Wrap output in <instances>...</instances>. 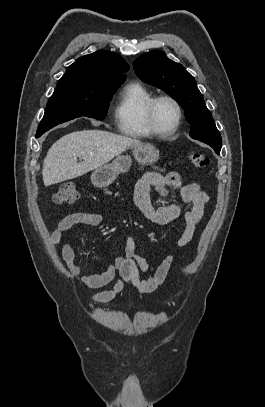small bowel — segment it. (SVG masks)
I'll return each instance as SVG.
<instances>
[{
  "instance_id": "1",
  "label": "small bowel",
  "mask_w": 265,
  "mask_h": 407,
  "mask_svg": "<svg viewBox=\"0 0 265 407\" xmlns=\"http://www.w3.org/2000/svg\"><path fill=\"white\" fill-rule=\"evenodd\" d=\"M163 196H167L169 189H178L181 202L155 207L151 201V189ZM209 201L208 195L200 189L197 183L184 184L182 177L177 172L162 175L157 172H148L137 182L134 192V202L143 216L156 224H167L178 218L184 212L185 228L178 238V247L189 244L201 221L205 206ZM184 206H187L184 209ZM102 217L97 213L82 211L68 214L59 223L51 236V244L59 250L63 262L66 264L70 275L77 279L84 287L97 290L92 299L98 303L113 301L126 285H131L140 293H152L161 286L167 278L168 272L174 262V256L168 254L159 264L152 266L143 258L137 248L133 237L125 241V252L116 257L100 272L83 274L81 267L76 264V254L72 246L66 241L67 232L77 224L97 227L101 224ZM141 273L149 277L142 279ZM119 275L114 286L110 285Z\"/></svg>"
}]
</instances>
